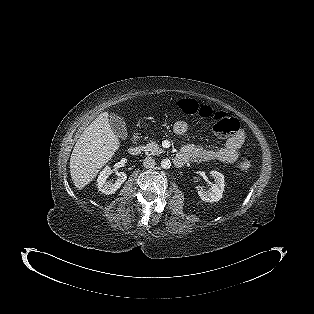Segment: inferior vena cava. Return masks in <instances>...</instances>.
Here are the masks:
<instances>
[{
    "label": "inferior vena cava",
    "mask_w": 314,
    "mask_h": 314,
    "mask_svg": "<svg viewBox=\"0 0 314 314\" xmlns=\"http://www.w3.org/2000/svg\"><path fill=\"white\" fill-rule=\"evenodd\" d=\"M155 159L152 157H146L143 160V165L145 168H153L155 166Z\"/></svg>",
    "instance_id": "inferior-vena-cava-1"
}]
</instances>
